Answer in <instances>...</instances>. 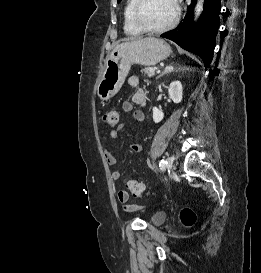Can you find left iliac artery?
<instances>
[{
  "mask_svg": "<svg viewBox=\"0 0 261 273\" xmlns=\"http://www.w3.org/2000/svg\"><path fill=\"white\" fill-rule=\"evenodd\" d=\"M166 162L164 161V160H161L160 162H159V167H160V169L161 170H164L165 169V167H166Z\"/></svg>",
  "mask_w": 261,
  "mask_h": 273,
  "instance_id": "left-iliac-artery-1",
  "label": "left iliac artery"
}]
</instances>
